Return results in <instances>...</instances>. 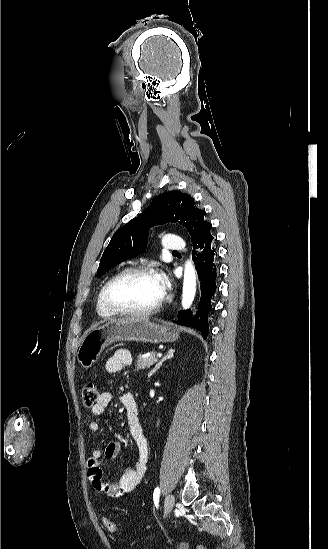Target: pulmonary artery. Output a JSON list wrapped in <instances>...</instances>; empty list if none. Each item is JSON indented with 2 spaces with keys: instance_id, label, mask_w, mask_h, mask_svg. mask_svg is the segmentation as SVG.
Returning <instances> with one entry per match:
<instances>
[{
  "instance_id": "obj_1",
  "label": "pulmonary artery",
  "mask_w": 328,
  "mask_h": 549,
  "mask_svg": "<svg viewBox=\"0 0 328 549\" xmlns=\"http://www.w3.org/2000/svg\"><path fill=\"white\" fill-rule=\"evenodd\" d=\"M160 248L164 252H181L184 245L181 241H177L175 237H166Z\"/></svg>"
}]
</instances>
